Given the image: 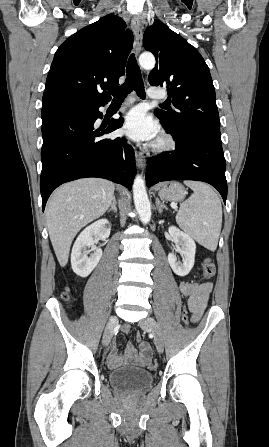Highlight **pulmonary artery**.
<instances>
[{
	"instance_id": "e3ab8cb5",
	"label": "pulmonary artery",
	"mask_w": 269,
	"mask_h": 447,
	"mask_svg": "<svg viewBox=\"0 0 269 447\" xmlns=\"http://www.w3.org/2000/svg\"><path fill=\"white\" fill-rule=\"evenodd\" d=\"M147 95L151 98L156 99H163L165 96V93L163 90H156L155 93L152 91V89L147 90Z\"/></svg>"
}]
</instances>
